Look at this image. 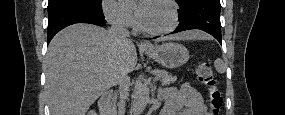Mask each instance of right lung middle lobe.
Segmentation results:
<instances>
[{
	"label": "right lung middle lobe",
	"instance_id": "dd1d6c3e",
	"mask_svg": "<svg viewBox=\"0 0 285 115\" xmlns=\"http://www.w3.org/2000/svg\"><path fill=\"white\" fill-rule=\"evenodd\" d=\"M66 8H83L102 11L101 0H49L48 15Z\"/></svg>",
	"mask_w": 285,
	"mask_h": 115
}]
</instances>
